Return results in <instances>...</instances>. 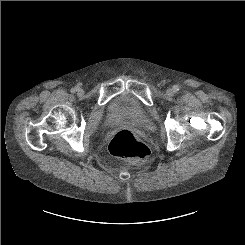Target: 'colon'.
Here are the masks:
<instances>
[{
  "label": "colon",
  "mask_w": 245,
  "mask_h": 245,
  "mask_svg": "<svg viewBox=\"0 0 245 245\" xmlns=\"http://www.w3.org/2000/svg\"><path fill=\"white\" fill-rule=\"evenodd\" d=\"M108 149L113 156L135 162L145 161L150 156L149 147L139 141L128 129L118 131L111 139Z\"/></svg>",
  "instance_id": "5ec220e1"
}]
</instances>
